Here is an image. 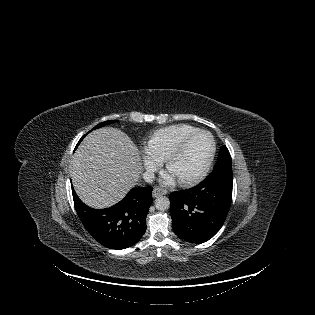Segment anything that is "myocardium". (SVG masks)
Instances as JSON below:
<instances>
[{
    "label": "myocardium",
    "mask_w": 315,
    "mask_h": 315,
    "mask_svg": "<svg viewBox=\"0 0 315 315\" xmlns=\"http://www.w3.org/2000/svg\"><path fill=\"white\" fill-rule=\"evenodd\" d=\"M198 134H206L209 137L210 142H211L210 153H209V156H208L204 166L202 167V169L198 173H196L193 176L187 177V178L178 179V182L182 185L196 184V183L200 182L209 172L211 165L213 163L214 157H215V153H216V143H215V139H214L213 135L207 130L197 129L196 131H194V132L186 135L184 138H182L180 140V142L175 146V148L167 155V157L164 160L165 167L170 172V166H171L172 162L178 156H180L182 154V152L184 151L188 142Z\"/></svg>",
    "instance_id": "1"
}]
</instances>
